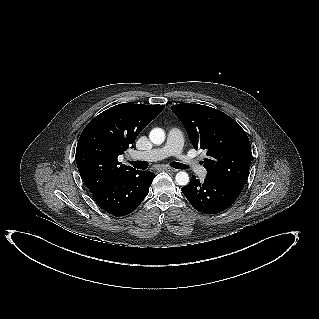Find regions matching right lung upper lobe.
I'll return each mask as SVG.
<instances>
[{
    "instance_id": "1",
    "label": "right lung upper lobe",
    "mask_w": 319,
    "mask_h": 319,
    "mask_svg": "<svg viewBox=\"0 0 319 319\" xmlns=\"http://www.w3.org/2000/svg\"><path fill=\"white\" fill-rule=\"evenodd\" d=\"M164 107L124 103L107 109L89 122L77 144L76 163L90 192L135 170L120 165L118 156L133 147L138 134Z\"/></svg>"
}]
</instances>
